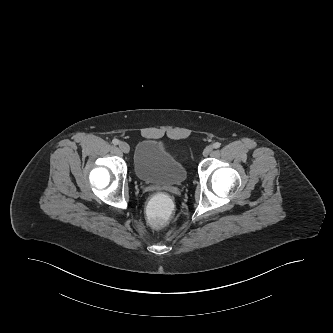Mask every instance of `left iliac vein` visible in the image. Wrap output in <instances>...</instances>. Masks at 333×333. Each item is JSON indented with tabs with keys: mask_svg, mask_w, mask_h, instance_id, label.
Returning <instances> with one entry per match:
<instances>
[{
	"mask_svg": "<svg viewBox=\"0 0 333 333\" xmlns=\"http://www.w3.org/2000/svg\"><path fill=\"white\" fill-rule=\"evenodd\" d=\"M212 151H213L212 146H207V147L205 148L204 152H203V155H204V156H208V155L211 154Z\"/></svg>",
	"mask_w": 333,
	"mask_h": 333,
	"instance_id": "4c4485c4",
	"label": "left iliac vein"
}]
</instances>
